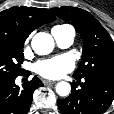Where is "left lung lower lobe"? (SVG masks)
Here are the masks:
<instances>
[{
	"instance_id": "obj_1",
	"label": "left lung lower lobe",
	"mask_w": 114,
	"mask_h": 114,
	"mask_svg": "<svg viewBox=\"0 0 114 114\" xmlns=\"http://www.w3.org/2000/svg\"><path fill=\"white\" fill-rule=\"evenodd\" d=\"M72 83V94L58 99V108L64 114H103L114 99V78L104 76L77 77ZM81 79L83 80L82 83Z\"/></svg>"
}]
</instances>
